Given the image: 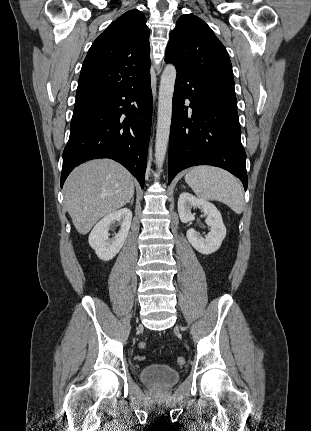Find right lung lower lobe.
Returning <instances> with one entry per match:
<instances>
[{
    "label": "right lung lower lobe",
    "instance_id": "1",
    "mask_svg": "<svg viewBox=\"0 0 311 431\" xmlns=\"http://www.w3.org/2000/svg\"><path fill=\"white\" fill-rule=\"evenodd\" d=\"M149 71L120 87L76 97L61 187L79 164L107 157L124 165L143 188L153 106Z\"/></svg>",
    "mask_w": 311,
    "mask_h": 431
}]
</instances>
